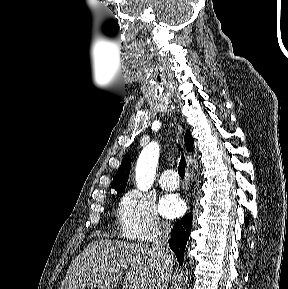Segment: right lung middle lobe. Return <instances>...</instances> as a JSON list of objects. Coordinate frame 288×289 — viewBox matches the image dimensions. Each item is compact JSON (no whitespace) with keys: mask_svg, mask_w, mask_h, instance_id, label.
<instances>
[{"mask_svg":"<svg viewBox=\"0 0 288 289\" xmlns=\"http://www.w3.org/2000/svg\"><path fill=\"white\" fill-rule=\"evenodd\" d=\"M122 191H117V193H121ZM113 198H115V196L113 195Z\"/></svg>","mask_w":288,"mask_h":289,"instance_id":"1","label":"right lung middle lobe"}]
</instances>
